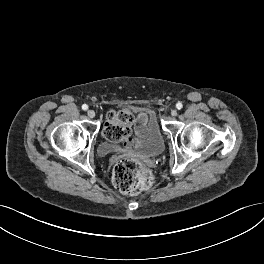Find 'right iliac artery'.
Here are the masks:
<instances>
[{"instance_id":"right-iliac-artery-1","label":"right iliac artery","mask_w":264,"mask_h":264,"mask_svg":"<svg viewBox=\"0 0 264 264\" xmlns=\"http://www.w3.org/2000/svg\"><path fill=\"white\" fill-rule=\"evenodd\" d=\"M82 109H83V110H87V109H88V106H87L86 104H83V105H82Z\"/></svg>"}]
</instances>
